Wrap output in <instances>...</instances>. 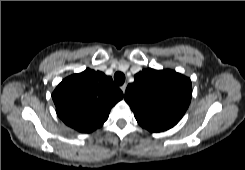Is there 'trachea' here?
I'll return each instance as SVG.
<instances>
[{"label":"trachea","mask_w":245,"mask_h":170,"mask_svg":"<svg viewBox=\"0 0 245 170\" xmlns=\"http://www.w3.org/2000/svg\"><path fill=\"white\" fill-rule=\"evenodd\" d=\"M114 80L117 85L121 86L125 82V75L122 72H117L114 75Z\"/></svg>","instance_id":"3493384b"}]
</instances>
